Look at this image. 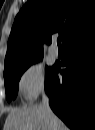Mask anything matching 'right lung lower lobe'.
Masks as SVG:
<instances>
[{
  "label": "right lung lower lobe",
  "mask_w": 95,
  "mask_h": 130,
  "mask_svg": "<svg viewBox=\"0 0 95 130\" xmlns=\"http://www.w3.org/2000/svg\"><path fill=\"white\" fill-rule=\"evenodd\" d=\"M66 55L61 70L53 66L45 82L50 106L73 130L93 129L95 123V29L64 45Z\"/></svg>",
  "instance_id": "right-lung-lower-lobe-1"
}]
</instances>
